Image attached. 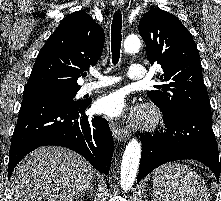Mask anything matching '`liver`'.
<instances>
[{
    "label": "liver",
    "mask_w": 221,
    "mask_h": 201,
    "mask_svg": "<svg viewBox=\"0 0 221 201\" xmlns=\"http://www.w3.org/2000/svg\"><path fill=\"white\" fill-rule=\"evenodd\" d=\"M94 170L79 154L62 147H40L14 169V201H75L93 184Z\"/></svg>",
    "instance_id": "1"
}]
</instances>
